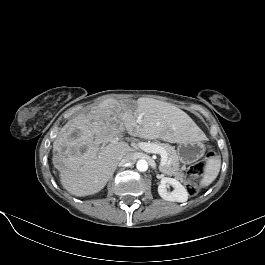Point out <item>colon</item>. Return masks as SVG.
Masks as SVG:
<instances>
[{"label":"colon","instance_id":"1","mask_svg":"<svg viewBox=\"0 0 265 265\" xmlns=\"http://www.w3.org/2000/svg\"><path fill=\"white\" fill-rule=\"evenodd\" d=\"M212 155H213V153H211V152L208 153L206 158H204L203 160H201L198 163L194 164L193 166H191L188 169L187 176H186V182H187L188 193L190 195L197 194V192L199 190L201 174L204 171L207 159L209 157H211Z\"/></svg>","mask_w":265,"mask_h":265}]
</instances>
